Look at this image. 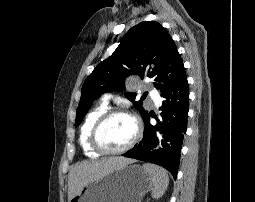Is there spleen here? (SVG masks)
I'll return each mask as SVG.
<instances>
[{"mask_svg": "<svg viewBox=\"0 0 255 202\" xmlns=\"http://www.w3.org/2000/svg\"><path fill=\"white\" fill-rule=\"evenodd\" d=\"M143 168L152 177V197L156 199L162 197L169 184V177L167 172L163 168L153 164H144Z\"/></svg>", "mask_w": 255, "mask_h": 202, "instance_id": "obj_1", "label": "spleen"}]
</instances>
